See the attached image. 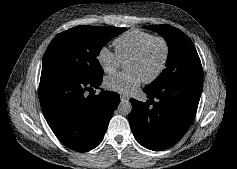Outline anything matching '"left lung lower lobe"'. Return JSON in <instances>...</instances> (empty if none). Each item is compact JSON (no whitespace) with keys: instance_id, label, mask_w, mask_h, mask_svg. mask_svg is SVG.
<instances>
[{"instance_id":"1","label":"left lung lower lobe","mask_w":237,"mask_h":169,"mask_svg":"<svg viewBox=\"0 0 237 169\" xmlns=\"http://www.w3.org/2000/svg\"><path fill=\"white\" fill-rule=\"evenodd\" d=\"M203 78L144 88L147 103L131 99L130 126L139 144L154 151L167 149L189 129L197 111ZM153 98L159 101L154 102Z\"/></svg>"}]
</instances>
